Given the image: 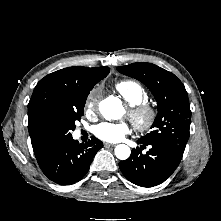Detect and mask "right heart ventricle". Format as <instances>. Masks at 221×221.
Wrapping results in <instances>:
<instances>
[{
    "label": "right heart ventricle",
    "mask_w": 221,
    "mask_h": 221,
    "mask_svg": "<svg viewBox=\"0 0 221 221\" xmlns=\"http://www.w3.org/2000/svg\"><path fill=\"white\" fill-rule=\"evenodd\" d=\"M116 91L132 106L146 102L148 92L146 88L135 80H121L114 85Z\"/></svg>",
    "instance_id": "obj_1"
}]
</instances>
